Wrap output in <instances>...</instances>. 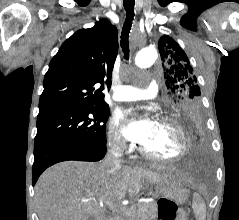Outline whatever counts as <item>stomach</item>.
Wrapping results in <instances>:
<instances>
[{"label": "stomach", "mask_w": 239, "mask_h": 220, "mask_svg": "<svg viewBox=\"0 0 239 220\" xmlns=\"http://www.w3.org/2000/svg\"><path fill=\"white\" fill-rule=\"evenodd\" d=\"M159 200V220H185L187 212L183 204L188 198V191L181 183H161L157 185Z\"/></svg>", "instance_id": "0dacf381"}]
</instances>
